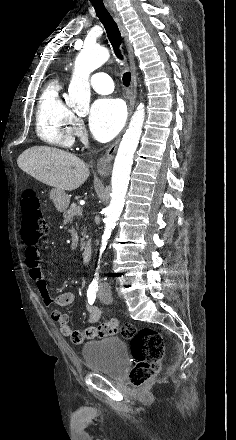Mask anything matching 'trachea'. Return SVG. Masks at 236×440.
Wrapping results in <instances>:
<instances>
[{"instance_id": "obj_1", "label": "trachea", "mask_w": 236, "mask_h": 440, "mask_svg": "<svg viewBox=\"0 0 236 440\" xmlns=\"http://www.w3.org/2000/svg\"><path fill=\"white\" fill-rule=\"evenodd\" d=\"M92 4L94 6V9H95L100 21L102 22V24L104 25V27L106 29L107 36H108L109 41L114 49L115 55L120 60H123V55L120 50L122 39H121V34H120L117 23L114 21L113 17L108 12V10L106 9L103 2L102 3H92ZM122 81H123V84L126 87H128L131 82V73L125 72L123 74Z\"/></svg>"}]
</instances>
